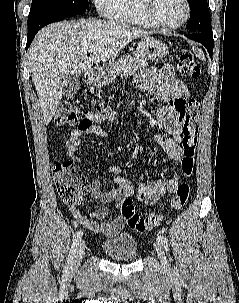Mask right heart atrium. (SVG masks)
<instances>
[{"label":"right heart atrium","instance_id":"d8ad5b80","mask_svg":"<svg viewBox=\"0 0 239 303\" xmlns=\"http://www.w3.org/2000/svg\"><path fill=\"white\" fill-rule=\"evenodd\" d=\"M94 4L102 16H112L118 0H93Z\"/></svg>","mask_w":239,"mask_h":303}]
</instances>
